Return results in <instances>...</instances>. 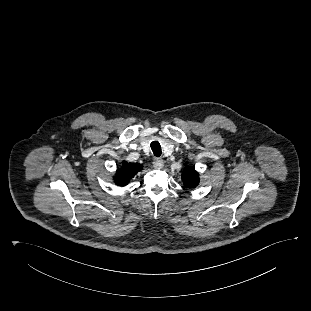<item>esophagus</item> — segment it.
<instances>
[{
    "label": "esophagus",
    "instance_id": "34e87169",
    "mask_svg": "<svg viewBox=\"0 0 311 311\" xmlns=\"http://www.w3.org/2000/svg\"><path fill=\"white\" fill-rule=\"evenodd\" d=\"M153 165L155 168H163L164 166V161L160 158H155L153 161Z\"/></svg>",
    "mask_w": 311,
    "mask_h": 311
}]
</instances>
